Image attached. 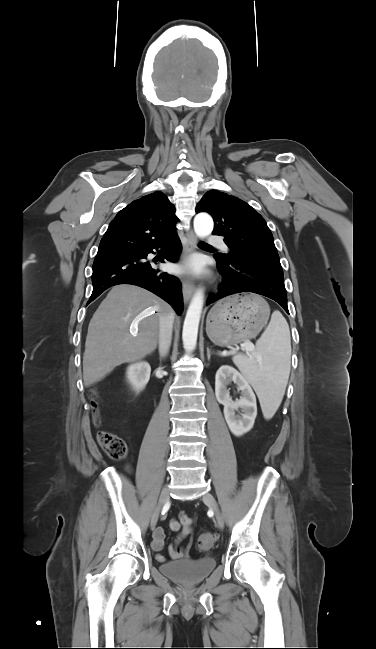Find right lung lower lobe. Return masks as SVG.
<instances>
[{
    "label": "right lung lower lobe",
    "instance_id": "right-lung-lower-lobe-1",
    "mask_svg": "<svg viewBox=\"0 0 376 649\" xmlns=\"http://www.w3.org/2000/svg\"><path fill=\"white\" fill-rule=\"evenodd\" d=\"M181 242L174 234L138 251L96 256L93 263V292L88 304L107 288L117 284H133L145 288L168 302L181 315L183 295L179 279L160 269H154L146 261L153 249L161 248L163 259L176 262L181 252Z\"/></svg>",
    "mask_w": 376,
    "mask_h": 649
}]
</instances>
